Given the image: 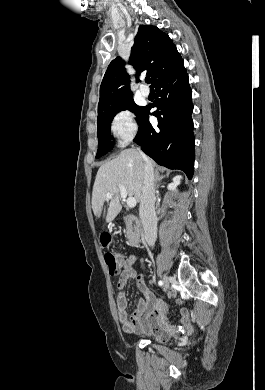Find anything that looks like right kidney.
Returning <instances> with one entry per match:
<instances>
[{
    "mask_svg": "<svg viewBox=\"0 0 265 390\" xmlns=\"http://www.w3.org/2000/svg\"><path fill=\"white\" fill-rule=\"evenodd\" d=\"M182 176H175L172 180V183L168 185V190L176 191L177 186L180 184Z\"/></svg>",
    "mask_w": 265,
    "mask_h": 390,
    "instance_id": "obj_1",
    "label": "right kidney"
}]
</instances>
